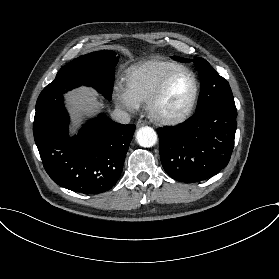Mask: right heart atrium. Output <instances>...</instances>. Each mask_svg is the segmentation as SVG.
<instances>
[{"instance_id":"right-heart-atrium-1","label":"right heart atrium","mask_w":279,"mask_h":279,"mask_svg":"<svg viewBox=\"0 0 279 279\" xmlns=\"http://www.w3.org/2000/svg\"><path fill=\"white\" fill-rule=\"evenodd\" d=\"M113 100L123 108L129 111H137L142 106L144 101L133 94L125 85H116L112 92Z\"/></svg>"}]
</instances>
